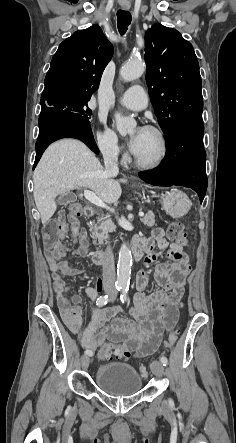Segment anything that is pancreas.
<instances>
[{
  "instance_id": "pancreas-1",
  "label": "pancreas",
  "mask_w": 236,
  "mask_h": 443,
  "mask_svg": "<svg viewBox=\"0 0 236 443\" xmlns=\"http://www.w3.org/2000/svg\"><path fill=\"white\" fill-rule=\"evenodd\" d=\"M141 222L148 227H153L155 225L153 212L148 211L145 217L141 219ZM115 229L116 226L110 218L98 217L97 223L92 227L93 244L103 245L104 241L108 238V233L114 232Z\"/></svg>"
}]
</instances>
